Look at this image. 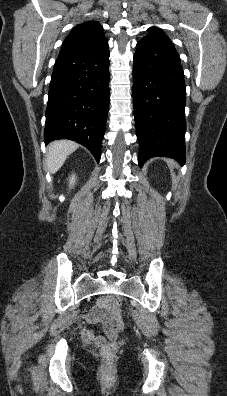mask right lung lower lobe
I'll return each instance as SVG.
<instances>
[{"mask_svg":"<svg viewBox=\"0 0 227 396\" xmlns=\"http://www.w3.org/2000/svg\"><path fill=\"white\" fill-rule=\"evenodd\" d=\"M109 48L100 44L60 52L50 82L44 141H76L100 161L109 107Z\"/></svg>","mask_w":227,"mask_h":396,"instance_id":"98d812e1","label":"right lung lower lobe"}]
</instances>
